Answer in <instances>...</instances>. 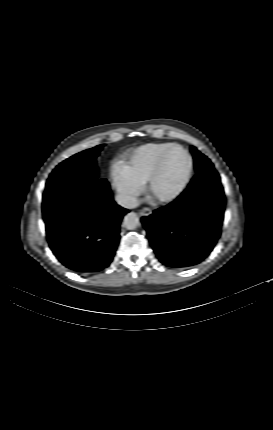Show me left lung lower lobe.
I'll return each mask as SVG.
<instances>
[{
  "label": "left lung lower lobe",
  "mask_w": 273,
  "mask_h": 430,
  "mask_svg": "<svg viewBox=\"0 0 273 430\" xmlns=\"http://www.w3.org/2000/svg\"><path fill=\"white\" fill-rule=\"evenodd\" d=\"M225 196L215 170L197 174L169 205L142 218L159 260L172 268H187L203 261L220 235Z\"/></svg>",
  "instance_id": "1"
}]
</instances>
